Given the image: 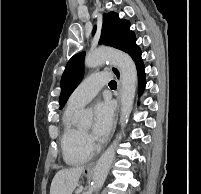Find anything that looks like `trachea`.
I'll return each mask as SVG.
<instances>
[{
	"mask_svg": "<svg viewBox=\"0 0 201 194\" xmlns=\"http://www.w3.org/2000/svg\"><path fill=\"white\" fill-rule=\"evenodd\" d=\"M109 87H117L116 81L112 80L109 82Z\"/></svg>",
	"mask_w": 201,
	"mask_h": 194,
	"instance_id": "3493384b",
	"label": "trachea"
}]
</instances>
